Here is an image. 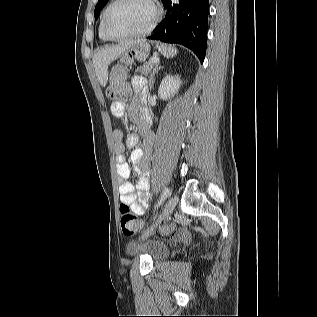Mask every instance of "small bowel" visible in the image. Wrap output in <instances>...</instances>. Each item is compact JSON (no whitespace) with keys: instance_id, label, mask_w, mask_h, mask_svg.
I'll return each instance as SVG.
<instances>
[{"instance_id":"obj_1","label":"small bowel","mask_w":317,"mask_h":317,"mask_svg":"<svg viewBox=\"0 0 317 317\" xmlns=\"http://www.w3.org/2000/svg\"><path fill=\"white\" fill-rule=\"evenodd\" d=\"M132 88L135 95L130 105L125 106L121 102H113L111 105L112 114L122 119L127 116L135 121L143 135V145L137 148L138 135L130 134L124 139L122 129L117 128L112 133L113 148L116 154V170L120 178L123 180L119 186L120 201L130 206L136 215H143L147 209L149 192V166L150 153L153 145V134L150 131V116L142 107L147 93V82L142 76H134L132 78ZM131 149L130 159L133 164L135 173L138 175L136 185L126 181L131 174V167L126 162L124 152L125 149ZM185 232H179L178 237H184Z\"/></svg>"}]
</instances>
